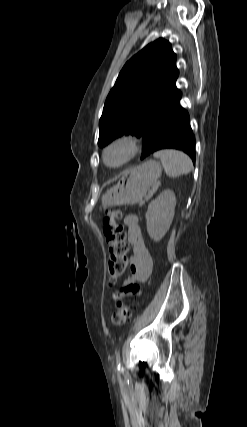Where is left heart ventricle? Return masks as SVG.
<instances>
[{
    "instance_id": "b2bd125f",
    "label": "left heart ventricle",
    "mask_w": 247,
    "mask_h": 427,
    "mask_svg": "<svg viewBox=\"0 0 247 427\" xmlns=\"http://www.w3.org/2000/svg\"><path fill=\"white\" fill-rule=\"evenodd\" d=\"M119 157H120V154H119L118 152H114V153H112V154L110 155V159H111L112 161H115V160L119 159Z\"/></svg>"
}]
</instances>
